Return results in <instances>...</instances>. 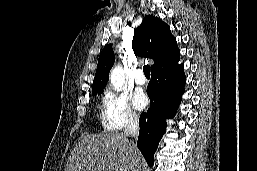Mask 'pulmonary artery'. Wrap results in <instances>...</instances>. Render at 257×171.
I'll use <instances>...</instances> for the list:
<instances>
[{"instance_id":"obj_1","label":"pulmonary artery","mask_w":257,"mask_h":171,"mask_svg":"<svg viewBox=\"0 0 257 171\" xmlns=\"http://www.w3.org/2000/svg\"><path fill=\"white\" fill-rule=\"evenodd\" d=\"M134 81L138 85H144L146 82L145 76L143 74V71L138 69L134 75Z\"/></svg>"}]
</instances>
